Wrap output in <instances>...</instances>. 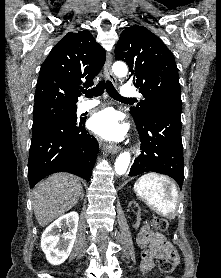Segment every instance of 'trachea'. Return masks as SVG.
<instances>
[{
	"label": "trachea",
	"mask_w": 221,
	"mask_h": 278,
	"mask_svg": "<svg viewBox=\"0 0 221 278\" xmlns=\"http://www.w3.org/2000/svg\"><path fill=\"white\" fill-rule=\"evenodd\" d=\"M106 89L110 97L118 101H133L134 99L123 98L114 88L111 81L101 80L96 87L90 90H84L83 93L86 97H98L101 96Z\"/></svg>",
	"instance_id": "1"
}]
</instances>
